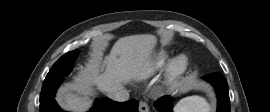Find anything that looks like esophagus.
<instances>
[{"instance_id": "34e87169", "label": "esophagus", "mask_w": 270, "mask_h": 112, "mask_svg": "<svg viewBox=\"0 0 270 112\" xmlns=\"http://www.w3.org/2000/svg\"><path fill=\"white\" fill-rule=\"evenodd\" d=\"M139 112H149V106L146 102L141 101L139 103Z\"/></svg>"}]
</instances>
